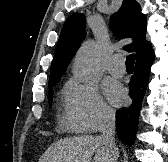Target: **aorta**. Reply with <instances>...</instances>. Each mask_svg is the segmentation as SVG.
<instances>
[{
	"label": "aorta",
	"mask_w": 168,
	"mask_h": 162,
	"mask_svg": "<svg viewBox=\"0 0 168 162\" xmlns=\"http://www.w3.org/2000/svg\"><path fill=\"white\" fill-rule=\"evenodd\" d=\"M100 60V48L92 40L86 41L78 50L74 66V76L80 81H88L94 74Z\"/></svg>",
	"instance_id": "obj_1"
}]
</instances>
